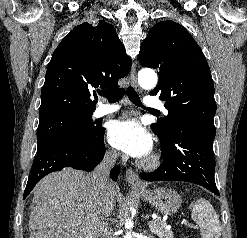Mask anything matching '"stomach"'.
Listing matches in <instances>:
<instances>
[{"label": "stomach", "instance_id": "0dacf381", "mask_svg": "<svg viewBox=\"0 0 247 238\" xmlns=\"http://www.w3.org/2000/svg\"><path fill=\"white\" fill-rule=\"evenodd\" d=\"M141 198L150 203L157 211L165 215L176 213L181 206L180 195L166 187H158L152 191L139 192Z\"/></svg>", "mask_w": 247, "mask_h": 238}]
</instances>
